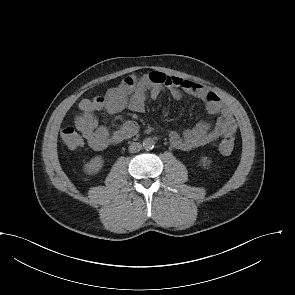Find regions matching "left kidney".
Listing matches in <instances>:
<instances>
[{"label": "left kidney", "mask_w": 295, "mask_h": 295, "mask_svg": "<svg viewBox=\"0 0 295 295\" xmlns=\"http://www.w3.org/2000/svg\"><path fill=\"white\" fill-rule=\"evenodd\" d=\"M200 162L203 166H208L211 163L207 157H202Z\"/></svg>", "instance_id": "1"}]
</instances>
